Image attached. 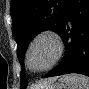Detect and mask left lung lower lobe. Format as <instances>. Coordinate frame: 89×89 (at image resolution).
I'll return each instance as SVG.
<instances>
[{
	"label": "left lung lower lobe",
	"mask_w": 89,
	"mask_h": 89,
	"mask_svg": "<svg viewBox=\"0 0 89 89\" xmlns=\"http://www.w3.org/2000/svg\"><path fill=\"white\" fill-rule=\"evenodd\" d=\"M59 35L65 55L44 77L68 73L89 76V0H70Z\"/></svg>",
	"instance_id": "left-lung-lower-lobe-1"
}]
</instances>
